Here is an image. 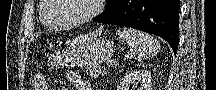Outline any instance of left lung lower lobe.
I'll use <instances>...</instances> for the list:
<instances>
[{
    "label": "left lung lower lobe",
    "instance_id": "0a47b994",
    "mask_svg": "<svg viewBox=\"0 0 216 90\" xmlns=\"http://www.w3.org/2000/svg\"><path fill=\"white\" fill-rule=\"evenodd\" d=\"M179 0H120L95 22L136 28L165 39L177 52L179 43Z\"/></svg>",
    "mask_w": 216,
    "mask_h": 90
}]
</instances>
